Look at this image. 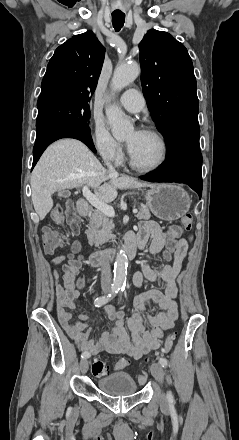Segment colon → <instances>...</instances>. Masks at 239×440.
Wrapping results in <instances>:
<instances>
[{"mask_svg":"<svg viewBox=\"0 0 239 440\" xmlns=\"http://www.w3.org/2000/svg\"><path fill=\"white\" fill-rule=\"evenodd\" d=\"M53 218L55 221L59 223L67 222L72 226L74 230H77L79 228V218L74 210V207L71 203H67L65 206H59L55 209L53 213ZM180 226H173L170 229V236L168 239L167 247L169 249H172L176 245V239L179 236L182 228L185 230H190L192 227V217L189 214H186L182 216L180 220ZM61 244L60 235L52 230V229H46L43 234V246L46 253L51 254L53 253ZM81 267L80 260L76 258H71L69 262L64 266V270L67 273L68 276L75 278V276L78 274L79 269ZM175 338L174 333H169L166 337L164 346L160 348L159 351L156 352L155 356H163L167 354L172 345ZM127 365V361L125 359L119 360L116 365L115 369H123ZM91 371L93 375L100 377L108 374L109 368L108 366L101 361L100 359H95L91 366ZM146 379V374L141 373L139 375V381L144 382Z\"/></svg>","mask_w":239,"mask_h":440,"instance_id":"colon-1","label":"colon"}]
</instances>
